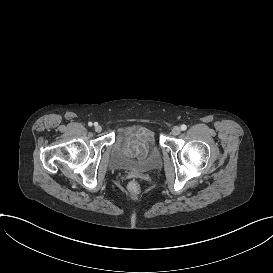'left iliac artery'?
<instances>
[{
    "instance_id": "obj_1",
    "label": "left iliac artery",
    "mask_w": 273,
    "mask_h": 273,
    "mask_svg": "<svg viewBox=\"0 0 273 273\" xmlns=\"http://www.w3.org/2000/svg\"><path fill=\"white\" fill-rule=\"evenodd\" d=\"M187 129V126L185 124L181 125V130H186Z\"/></svg>"
}]
</instances>
